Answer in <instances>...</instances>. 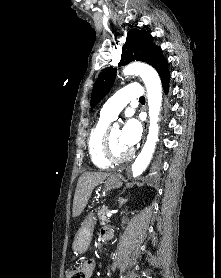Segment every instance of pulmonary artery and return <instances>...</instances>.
I'll return each instance as SVG.
<instances>
[{
	"instance_id": "pulmonary-artery-1",
	"label": "pulmonary artery",
	"mask_w": 221,
	"mask_h": 278,
	"mask_svg": "<svg viewBox=\"0 0 221 278\" xmlns=\"http://www.w3.org/2000/svg\"><path fill=\"white\" fill-rule=\"evenodd\" d=\"M142 96V88L138 84L131 83L119 90L104 104L100 115L109 120H113L130 100L137 99Z\"/></svg>"
}]
</instances>
